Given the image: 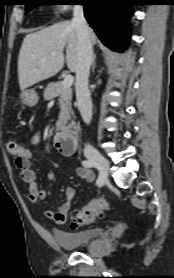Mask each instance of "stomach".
<instances>
[{
	"mask_svg": "<svg viewBox=\"0 0 174 278\" xmlns=\"http://www.w3.org/2000/svg\"><path fill=\"white\" fill-rule=\"evenodd\" d=\"M20 99L22 100V103L29 106L33 107L37 104L38 102V95L37 93L30 89V90H23L20 94Z\"/></svg>",
	"mask_w": 174,
	"mask_h": 278,
	"instance_id": "1",
	"label": "stomach"
}]
</instances>
